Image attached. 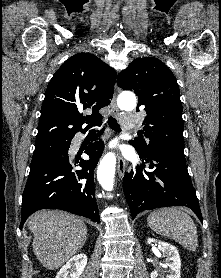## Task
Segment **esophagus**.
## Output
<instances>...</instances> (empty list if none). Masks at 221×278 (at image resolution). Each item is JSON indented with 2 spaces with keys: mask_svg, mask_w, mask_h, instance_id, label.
<instances>
[{
  "mask_svg": "<svg viewBox=\"0 0 221 278\" xmlns=\"http://www.w3.org/2000/svg\"><path fill=\"white\" fill-rule=\"evenodd\" d=\"M110 107H111V111L114 115L119 114V109L116 104V95L115 94L111 100ZM125 169H126V161L123 158V156L119 154L117 157V171H118V175L120 178H122L124 176Z\"/></svg>",
  "mask_w": 221,
  "mask_h": 278,
  "instance_id": "obj_1",
  "label": "esophagus"
}]
</instances>
